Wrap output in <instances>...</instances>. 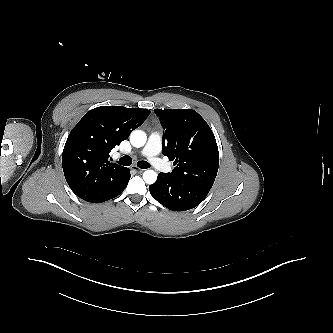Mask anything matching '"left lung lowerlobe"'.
<instances>
[{"mask_svg":"<svg viewBox=\"0 0 333 333\" xmlns=\"http://www.w3.org/2000/svg\"><path fill=\"white\" fill-rule=\"evenodd\" d=\"M210 189L178 181L168 173H159L157 181L149 186L151 195L172 211H186L198 206Z\"/></svg>","mask_w":333,"mask_h":333,"instance_id":"left-lung-lower-lobe-1","label":"left lung lower lobe"}]
</instances>
